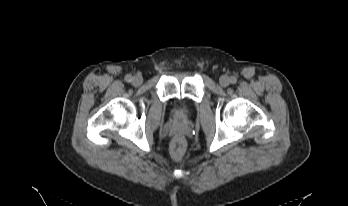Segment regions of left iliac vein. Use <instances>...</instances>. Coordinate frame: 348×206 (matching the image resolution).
I'll return each instance as SVG.
<instances>
[{"label": "left iliac vein", "instance_id": "obj_1", "mask_svg": "<svg viewBox=\"0 0 348 206\" xmlns=\"http://www.w3.org/2000/svg\"><path fill=\"white\" fill-rule=\"evenodd\" d=\"M219 83H220V85H221L222 87H226V86L229 85L230 79H229L228 76L222 75V76L220 77V79H219Z\"/></svg>", "mask_w": 348, "mask_h": 206}]
</instances>
